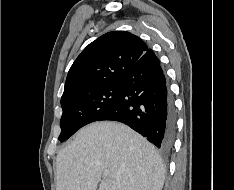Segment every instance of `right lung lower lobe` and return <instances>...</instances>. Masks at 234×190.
I'll return each mask as SVG.
<instances>
[{"label":"right lung lower lobe","instance_id":"98d812e1","mask_svg":"<svg viewBox=\"0 0 234 190\" xmlns=\"http://www.w3.org/2000/svg\"><path fill=\"white\" fill-rule=\"evenodd\" d=\"M119 96L98 121L122 122L161 150L171 149L176 117L160 62L149 49L121 77Z\"/></svg>","mask_w":234,"mask_h":190}]
</instances>
